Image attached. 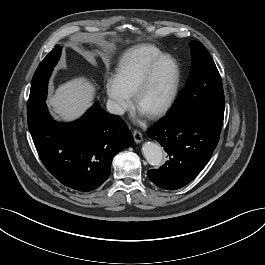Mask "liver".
<instances>
[{
  "label": "liver",
  "instance_id": "liver-1",
  "mask_svg": "<svg viewBox=\"0 0 265 265\" xmlns=\"http://www.w3.org/2000/svg\"><path fill=\"white\" fill-rule=\"evenodd\" d=\"M96 85L84 76L67 81L48 99L54 114L65 121L80 117L92 104Z\"/></svg>",
  "mask_w": 265,
  "mask_h": 265
}]
</instances>
